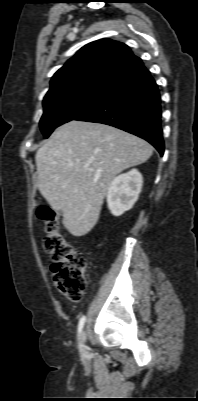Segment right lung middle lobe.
Segmentation results:
<instances>
[{
  "instance_id": "dd1d6c3e",
  "label": "right lung middle lobe",
  "mask_w": 198,
  "mask_h": 401,
  "mask_svg": "<svg viewBox=\"0 0 198 401\" xmlns=\"http://www.w3.org/2000/svg\"><path fill=\"white\" fill-rule=\"evenodd\" d=\"M107 90L108 87L86 86L45 98L44 113L40 120L44 137H49L56 127L92 109Z\"/></svg>"
}]
</instances>
